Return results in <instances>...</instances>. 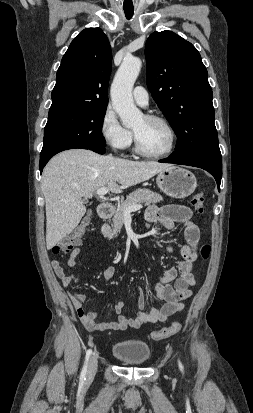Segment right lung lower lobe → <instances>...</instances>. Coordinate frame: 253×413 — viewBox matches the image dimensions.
<instances>
[{"instance_id": "right-lung-lower-lobe-1", "label": "right lung lower lobe", "mask_w": 253, "mask_h": 413, "mask_svg": "<svg viewBox=\"0 0 253 413\" xmlns=\"http://www.w3.org/2000/svg\"><path fill=\"white\" fill-rule=\"evenodd\" d=\"M105 143L102 144H93V145H85L82 143H69V144H62L58 145L50 150L41 152L40 155V172L43 171L44 166L46 163L50 160L51 157H53L55 154L68 150V149H75V148H82V149H89L94 152H97L99 154H104L105 153Z\"/></svg>"}]
</instances>
